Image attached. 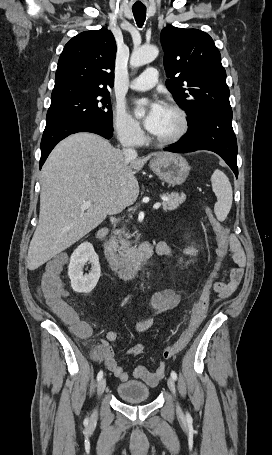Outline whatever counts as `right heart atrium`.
Returning <instances> with one entry per match:
<instances>
[{"label": "right heart atrium", "mask_w": 272, "mask_h": 455, "mask_svg": "<svg viewBox=\"0 0 272 455\" xmlns=\"http://www.w3.org/2000/svg\"><path fill=\"white\" fill-rule=\"evenodd\" d=\"M113 129L119 141L126 145L137 146L144 139L139 123L122 106L114 109Z\"/></svg>", "instance_id": "1"}]
</instances>
